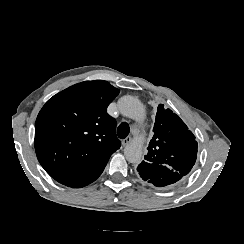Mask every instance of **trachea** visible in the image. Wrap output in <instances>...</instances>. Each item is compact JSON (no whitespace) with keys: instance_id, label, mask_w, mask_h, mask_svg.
I'll list each match as a JSON object with an SVG mask.
<instances>
[{"instance_id":"obj_1","label":"trachea","mask_w":244,"mask_h":244,"mask_svg":"<svg viewBox=\"0 0 244 244\" xmlns=\"http://www.w3.org/2000/svg\"><path fill=\"white\" fill-rule=\"evenodd\" d=\"M130 133V127L127 123H122L118 126L117 134L119 138H126Z\"/></svg>"}]
</instances>
